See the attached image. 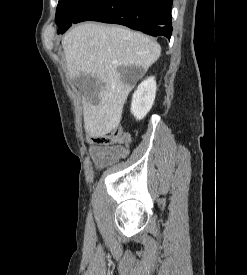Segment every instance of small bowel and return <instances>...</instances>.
Listing matches in <instances>:
<instances>
[{"instance_id": "1", "label": "small bowel", "mask_w": 247, "mask_h": 275, "mask_svg": "<svg viewBox=\"0 0 247 275\" xmlns=\"http://www.w3.org/2000/svg\"><path fill=\"white\" fill-rule=\"evenodd\" d=\"M90 154L95 167L102 169L125 158L128 154V149L124 145H94L90 149Z\"/></svg>"}]
</instances>
